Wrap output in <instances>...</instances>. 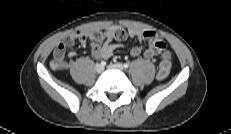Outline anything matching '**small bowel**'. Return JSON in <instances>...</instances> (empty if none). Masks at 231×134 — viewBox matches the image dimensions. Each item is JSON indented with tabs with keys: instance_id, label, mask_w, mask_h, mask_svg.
I'll use <instances>...</instances> for the list:
<instances>
[{
	"instance_id": "1",
	"label": "small bowel",
	"mask_w": 231,
	"mask_h": 134,
	"mask_svg": "<svg viewBox=\"0 0 231 134\" xmlns=\"http://www.w3.org/2000/svg\"><path fill=\"white\" fill-rule=\"evenodd\" d=\"M118 29L121 28L112 26L97 34L84 30L73 32L56 46L53 52L54 59L64 60L67 48L73 46L77 40L83 44L87 42L90 43L91 53L94 58L108 59L118 53L122 48L120 44L112 43L114 40H117L114 32ZM124 31L127 32L130 37L140 42L139 45L131 48L130 55L132 57H138L143 54L146 59H153L159 56L165 48L163 39L154 31L140 30L137 28H130ZM96 35L101 36L102 40H97ZM101 41H104V43L100 44ZM143 44H145V48ZM67 54L70 58L76 57L75 51H69Z\"/></svg>"
}]
</instances>
